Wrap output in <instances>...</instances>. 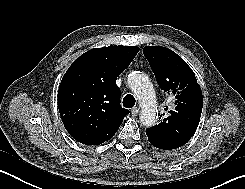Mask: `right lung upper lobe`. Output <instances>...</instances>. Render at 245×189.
Returning <instances> with one entry per match:
<instances>
[{
    "instance_id": "obj_1",
    "label": "right lung upper lobe",
    "mask_w": 245,
    "mask_h": 189,
    "mask_svg": "<svg viewBox=\"0 0 245 189\" xmlns=\"http://www.w3.org/2000/svg\"><path fill=\"white\" fill-rule=\"evenodd\" d=\"M138 51L136 46L94 48L69 67L59 86L58 108L75 140L99 145L117 132L129 111L120 106L116 79Z\"/></svg>"
}]
</instances>
